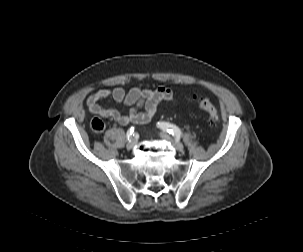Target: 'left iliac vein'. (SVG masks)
I'll return each instance as SVG.
<instances>
[{
  "mask_svg": "<svg viewBox=\"0 0 303 252\" xmlns=\"http://www.w3.org/2000/svg\"><path fill=\"white\" fill-rule=\"evenodd\" d=\"M160 136L163 139L170 141L177 151H179V152L183 151V149H184L183 144L179 140L172 139L168 134H166L164 132H161Z\"/></svg>",
  "mask_w": 303,
  "mask_h": 252,
  "instance_id": "left-iliac-vein-1",
  "label": "left iliac vein"
}]
</instances>
